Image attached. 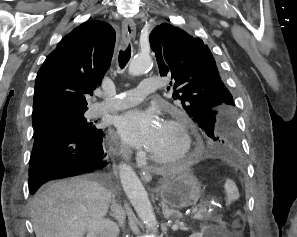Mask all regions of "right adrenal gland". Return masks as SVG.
Returning <instances> with one entry per match:
<instances>
[{
	"label": "right adrenal gland",
	"mask_w": 297,
	"mask_h": 237,
	"mask_svg": "<svg viewBox=\"0 0 297 237\" xmlns=\"http://www.w3.org/2000/svg\"><path fill=\"white\" fill-rule=\"evenodd\" d=\"M110 206V216L114 217L115 220H117L119 227L123 228L125 223V213L120 212V205L118 204V201L115 199L114 196H112Z\"/></svg>",
	"instance_id": "right-adrenal-gland-1"
}]
</instances>
